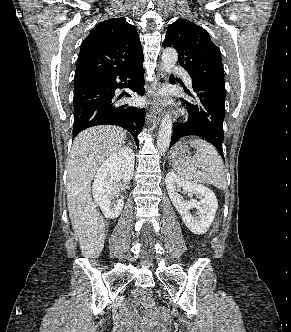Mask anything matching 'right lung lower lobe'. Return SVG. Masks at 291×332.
Masks as SVG:
<instances>
[{
  "label": "right lung lower lobe",
  "instance_id": "1",
  "mask_svg": "<svg viewBox=\"0 0 291 332\" xmlns=\"http://www.w3.org/2000/svg\"><path fill=\"white\" fill-rule=\"evenodd\" d=\"M142 63L116 74H100L75 82L73 138L86 128L96 125H117L128 130L136 140L144 125V109L117 104L122 96H115L117 88L128 87L144 95ZM124 82V83H123ZM127 97H131L126 94Z\"/></svg>",
  "mask_w": 291,
  "mask_h": 332
}]
</instances>
